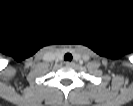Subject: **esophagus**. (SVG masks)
I'll return each instance as SVG.
<instances>
[{"label":"esophagus","instance_id":"1","mask_svg":"<svg viewBox=\"0 0 133 106\" xmlns=\"http://www.w3.org/2000/svg\"><path fill=\"white\" fill-rule=\"evenodd\" d=\"M65 64H66L67 66H72L74 63H73V62H70V61H66Z\"/></svg>","mask_w":133,"mask_h":106}]
</instances>
